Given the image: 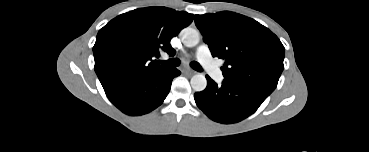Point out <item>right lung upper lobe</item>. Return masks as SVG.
I'll use <instances>...</instances> for the list:
<instances>
[{
  "label": "right lung upper lobe",
  "mask_w": 369,
  "mask_h": 152,
  "mask_svg": "<svg viewBox=\"0 0 369 152\" xmlns=\"http://www.w3.org/2000/svg\"><path fill=\"white\" fill-rule=\"evenodd\" d=\"M194 15L166 7L135 9L101 28L93 47L95 72L105 93L139 77L166 70L154 57L174 55L170 40Z\"/></svg>",
  "instance_id": "cb5924a9"
}]
</instances>
